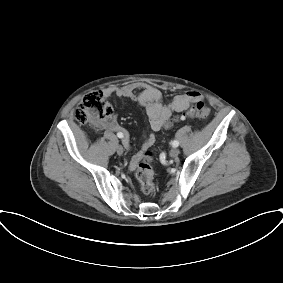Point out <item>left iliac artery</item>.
I'll return each instance as SVG.
<instances>
[{"instance_id":"44dca946","label":"left iliac artery","mask_w":283,"mask_h":283,"mask_svg":"<svg viewBox=\"0 0 283 283\" xmlns=\"http://www.w3.org/2000/svg\"><path fill=\"white\" fill-rule=\"evenodd\" d=\"M171 144L173 147H177L179 145V142L177 140H174Z\"/></svg>"}]
</instances>
